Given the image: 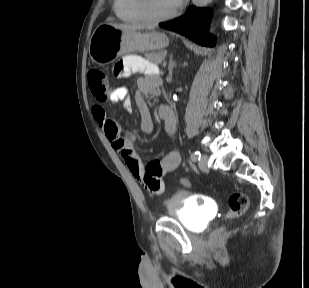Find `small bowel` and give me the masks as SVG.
<instances>
[{
  "label": "small bowel",
  "mask_w": 309,
  "mask_h": 288,
  "mask_svg": "<svg viewBox=\"0 0 309 288\" xmlns=\"http://www.w3.org/2000/svg\"><path fill=\"white\" fill-rule=\"evenodd\" d=\"M140 72L144 76L138 82V93L135 104L140 116V131L151 133L154 130L152 117L142 93L155 95L159 91L161 79L156 67L142 57L127 55L114 65L112 73L116 78ZM110 101L114 104L121 103L122 108L131 112L132 101L129 88L125 85L118 86L110 94ZM159 116L163 120L168 135L176 132V118L174 110L166 105L159 107ZM96 122L103 129L112 148L119 153L129 173L142 183L145 189L152 194H161L164 190V178L173 172L180 164V154L171 150L159 160H152L144 165L134 146L136 132L123 135L121 127L106 117L105 109L96 105L92 108Z\"/></svg>",
  "instance_id": "obj_1"
}]
</instances>
